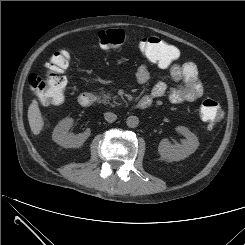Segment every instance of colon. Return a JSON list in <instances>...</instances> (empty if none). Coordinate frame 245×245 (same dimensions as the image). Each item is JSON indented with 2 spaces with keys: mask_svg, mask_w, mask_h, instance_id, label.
I'll use <instances>...</instances> for the list:
<instances>
[{
  "mask_svg": "<svg viewBox=\"0 0 245 245\" xmlns=\"http://www.w3.org/2000/svg\"><path fill=\"white\" fill-rule=\"evenodd\" d=\"M100 46L104 48H115L122 46L129 40L127 32L121 29L101 31L98 35ZM139 49L141 53L151 62L161 67L171 65L178 57L175 47L167 44L157 37H144L140 40ZM68 60L63 51L55 53L48 63L46 78L32 73L28 78V84L35 92L38 100L46 105L59 104L65 97L67 79L65 70ZM200 115L208 129H213L220 121L222 112L218 101L206 99L200 107Z\"/></svg>",
  "mask_w": 245,
  "mask_h": 245,
  "instance_id": "obj_1",
  "label": "colon"
}]
</instances>
